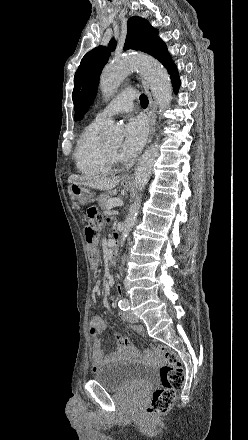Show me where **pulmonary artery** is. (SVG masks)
<instances>
[{
	"mask_svg": "<svg viewBox=\"0 0 248 440\" xmlns=\"http://www.w3.org/2000/svg\"><path fill=\"white\" fill-rule=\"evenodd\" d=\"M135 98L136 91L133 89L121 92L105 108L96 114L95 121L103 123L111 116L129 112L133 107V100Z\"/></svg>",
	"mask_w": 248,
	"mask_h": 440,
	"instance_id": "1",
	"label": "pulmonary artery"
}]
</instances>
